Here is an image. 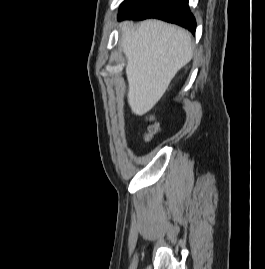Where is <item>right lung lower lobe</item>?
<instances>
[{
	"label": "right lung lower lobe",
	"instance_id": "obj_1",
	"mask_svg": "<svg viewBox=\"0 0 265 269\" xmlns=\"http://www.w3.org/2000/svg\"><path fill=\"white\" fill-rule=\"evenodd\" d=\"M146 18L175 23L195 33L196 21L189 10L188 0H125L120 6L119 20Z\"/></svg>",
	"mask_w": 265,
	"mask_h": 269
}]
</instances>
